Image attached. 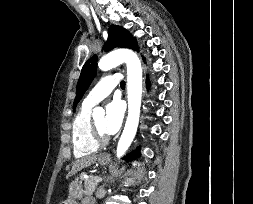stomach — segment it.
I'll return each mask as SVG.
<instances>
[{"label": "stomach", "instance_id": "0dacf381", "mask_svg": "<svg viewBox=\"0 0 253 204\" xmlns=\"http://www.w3.org/2000/svg\"><path fill=\"white\" fill-rule=\"evenodd\" d=\"M110 161L109 158H105L103 156L98 157V163L101 165H106ZM86 195L84 193V188L81 184V181H79L78 178L73 180L69 185V197L68 199L62 201L60 204H78L77 200H80L83 198V196Z\"/></svg>", "mask_w": 253, "mask_h": 204}]
</instances>
